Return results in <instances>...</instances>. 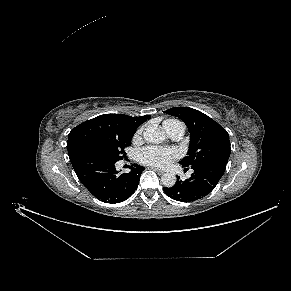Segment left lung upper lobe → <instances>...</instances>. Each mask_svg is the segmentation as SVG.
<instances>
[{"instance_id":"left-lung-upper-lobe-1","label":"left lung upper lobe","mask_w":291,"mask_h":291,"mask_svg":"<svg viewBox=\"0 0 291 291\" xmlns=\"http://www.w3.org/2000/svg\"><path fill=\"white\" fill-rule=\"evenodd\" d=\"M184 121L190 132L187 156L180 161L183 167L199 163L228 162L231 148L228 132L206 114L188 107H174L165 111Z\"/></svg>"}]
</instances>
